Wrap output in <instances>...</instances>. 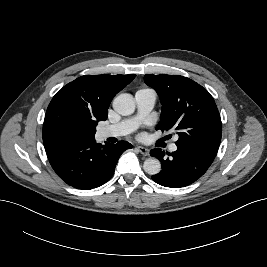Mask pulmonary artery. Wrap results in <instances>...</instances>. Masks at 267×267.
<instances>
[{"mask_svg":"<svg viewBox=\"0 0 267 267\" xmlns=\"http://www.w3.org/2000/svg\"><path fill=\"white\" fill-rule=\"evenodd\" d=\"M135 100L137 103L138 114L133 118L101 128L98 131V136L101 139L119 137L131 133L137 127L139 121L153 109L156 102V94L149 89L139 90L135 94ZM169 149L174 152L177 150V145L172 143L169 146Z\"/></svg>","mask_w":267,"mask_h":267,"instance_id":"obj_1","label":"pulmonary artery"}]
</instances>
